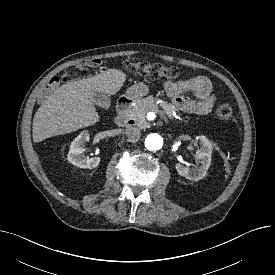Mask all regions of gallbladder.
I'll use <instances>...</instances> for the list:
<instances>
[{
	"instance_id": "obj_1",
	"label": "gallbladder",
	"mask_w": 275,
	"mask_h": 275,
	"mask_svg": "<svg viewBox=\"0 0 275 275\" xmlns=\"http://www.w3.org/2000/svg\"><path fill=\"white\" fill-rule=\"evenodd\" d=\"M92 100L94 104L105 110H108L111 106L110 97L104 92H95L92 96Z\"/></svg>"
}]
</instances>
